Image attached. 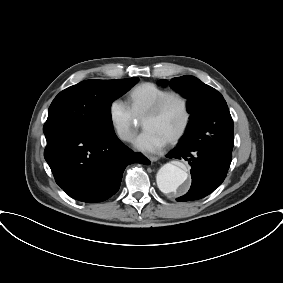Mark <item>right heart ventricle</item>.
Returning a JSON list of instances; mask_svg holds the SVG:
<instances>
[{
	"instance_id": "right-heart-ventricle-1",
	"label": "right heart ventricle",
	"mask_w": 283,
	"mask_h": 283,
	"mask_svg": "<svg viewBox=\"0 0 283 283\" xmlns=\"http://www.w3.org/2000/svg\"><path fill=\"white\" fill-rule=\"evenodd\" d=\"M169 91V89L155 83H141L129 91L128 106L135 118H143L147 111Z\"/></svg>"
}]
</instances>
